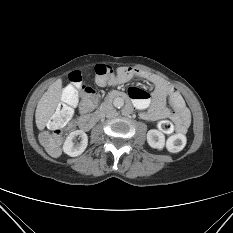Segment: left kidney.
I'll return each mask as SVG.
<instances>
[{"mask_svg":"<svg viewBox=\"0 0 233 233\" xmlns=\"http://www.w3.org/2000/svg\"><path fill=\"white\" fill-rule=\"evenodd\" d=\"M147 142L150 147L162 150L165 145V136L157 129H151L147 133Z\"/></svg>","mask_w":233,"mask_h":233,"instance_id":"obj_1","label":"left kidney"}]
</instances>
